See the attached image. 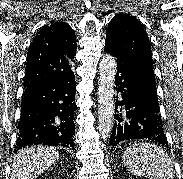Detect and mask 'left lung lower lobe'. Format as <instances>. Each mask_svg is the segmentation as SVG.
Masks as SVG:
<instances>
[{"label": "left lung lower lobe", "instance_id": "0a47b994", "mask_svg": "<svg viewBox=\"0 0 183 179\" xmlns=\"http://www.w3.org/2000/svg\"><path fill=\"white\" fill-rule=\"evenodd\" d=\"M105 52L117 58L115 89L123 99L116 100L115 112L120 106L123 108L115 115L110 144L114 147L124 140L145 139L168 147L159 105L145 78L139 69L117 56L111 48L105 46Z\"/></svg>", "mask_w": 183, "mask_h": 179}]
</instances>
